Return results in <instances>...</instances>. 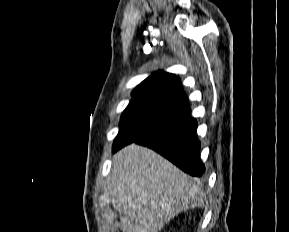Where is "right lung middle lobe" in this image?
<instances>
[{
  "label": "right lung middle lobe",
  "instance_id": "right-lung-middle-lobe-1",
  "mask_svg": "<svg viewBox=\"0 0 289 232\" xmlns=\"http://www.w3.org/2000/svg\"><path fill=\"white\" fill-rule=\"evenodd\" d=\"M184 113L149 103L130 102L121 116L113 152L154 130L179 119Z\"/></svg>",
  "mask_w": 289,
  "mask_h": 232
}]
</instances>
